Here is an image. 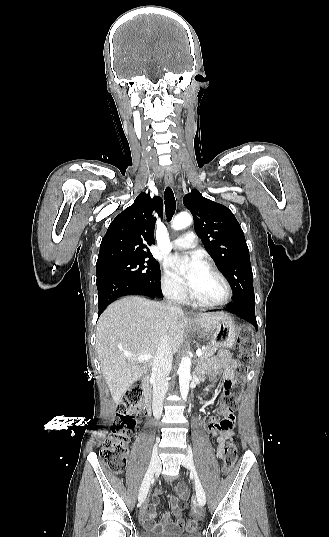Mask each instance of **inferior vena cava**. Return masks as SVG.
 <instances>
[{"label":"inferior vena cava","mask_w":329,"mask_h":537,"mask_svg":"<svg viewBox=\"0 0 329 537\" xmlns=\"http://www.w3.org/2000/svg\"><path fill=\"white\" fill-rule=\"evenodd\" d=\"M170 313H181L182 309L177 305L168 303ZM173 353L167 333L162 334L159 340L156 354L152 365L153 380V415L159 420L163 411V401L168 391V375L172 368Z\"/></svg>","instance_id":"1"}]
</instances>
